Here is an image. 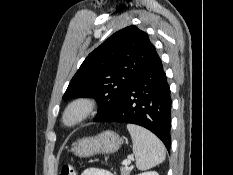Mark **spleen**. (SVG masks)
Instances as JSON below:
<instances>
[{
	"label": "spleen",
	"mask_w": 233,
	"mask_h": 175,
	"mask_svg": "<svg viewBox=\"0 0 233 175\" xmlns=\"http://www.w3.org/2000/svg\"><path fill=\"white\" fill-rule=\"evenodd\" d=\"M127 129L132 138L133 154L139 170L150 169L165 160V147L153 133L135 124H128Z\"/></svg>",
	"instance_id": "3e777b00"
}]
</instances>
